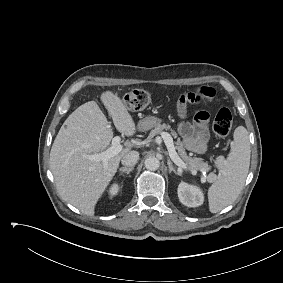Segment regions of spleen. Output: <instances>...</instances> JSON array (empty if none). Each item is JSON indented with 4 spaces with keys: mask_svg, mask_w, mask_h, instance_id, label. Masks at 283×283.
Instances as JSON below:
<instances>
[{
    "mask_svg": "<svg viewBox=\"0 0 283 283\" xmlns=\"http://www.w3.org/2000/svg\"><path fill=\"white\" fill-rule=\"evenodd\" d=\"M250 152L248 132L239 126L234 131L230 153L216 161L219 175L208 189L210 212L217 213L237 199L249 171Z\"/></svg>",
    "mask_w": 283,
    "mask_h": 283,
    "instance_id": "1",
    "label": "spleen"
}]
</instances>
